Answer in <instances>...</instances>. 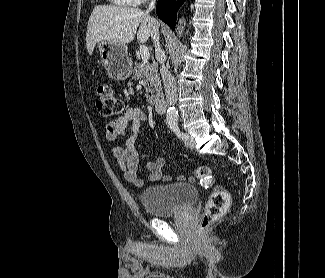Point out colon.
<instances>
[{
	"label": "colon",
	"instance_id": "colon-1",
	"mask_svg": "<svg viewBox=\"0 0 325 278\" xmlns=\"http://www.w3.org/2000/svg\"><path fill=\"white\" fill-rule=\"evenodd\" d=\"M95 105L99 113L108 118L121 115L125 108L123 101L109 85L97 87ZM194 177L205 185L213 186L199 224V231L204 232L226 212L230 203V195L225 189L215 184L214 174L209 167H197L194 170Z\"/></svg>",
	"mask_w": 325,
	"mask_h": 278
}]
</instances>
